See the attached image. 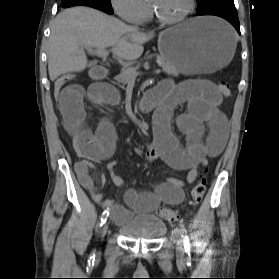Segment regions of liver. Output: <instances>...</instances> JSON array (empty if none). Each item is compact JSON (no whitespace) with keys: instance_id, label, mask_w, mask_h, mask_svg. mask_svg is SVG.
<instances>
[{"instance_id":"liver-1","label":"liver","mask_w":279,"mask_h":279,"mask_svg":"<svg viewBox=\"0 0 279 279\" xmlns=\"http://www.w3.org/2000/svg\"><path fill=\"white\" fill-rule=\"evenodd\" d=\"M154 36L89 7H73L59 13L51 26L48 72L51 81L81 72L87 66L84 49L111 47V52L127 61L138 59L143 44Z\"/></svg>"}]
</instances>
